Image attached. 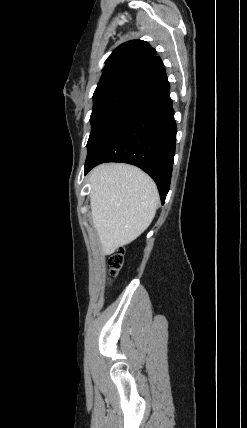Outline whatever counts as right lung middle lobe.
<instances>
[{
	"label": "right lung middle lobe",
	"instance_id": "dd1d6c3e",
	"mask_svg": "<svg viewBox=\"0 0 247 428\" xmlns=\"http://www.w3.org/2000/svg\"><path fill=\"white\" fill-rule=\"evenodd\" d=\"M139 93L128 89H112L93 95V109L90 117L91 133L89 149L105 126Z\"/></svg>",
	"mask_w": 247,
	"mask_h": 428
}]
</instances>
